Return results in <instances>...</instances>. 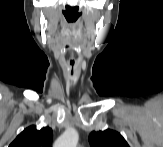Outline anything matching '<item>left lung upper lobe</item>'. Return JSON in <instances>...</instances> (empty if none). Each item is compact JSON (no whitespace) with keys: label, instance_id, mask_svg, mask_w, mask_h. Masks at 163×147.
Here are the masks:
<instances>
[{"label":"left lung upper lobe","instance_id":"left-lung-upper-lobe-1","mask_svg":"<svg viewBox=\"0 0 163 147\" xmlns=\"http://www.w3.org/2000/svg\"><path fill=\"white\" fill-rule=\"evenodd\" d=\"M92 147H129L120 133L107 129L105 131H93L89 136Z\"/></svg>","mask_w":163,"mask_h":147}]
</instances>
